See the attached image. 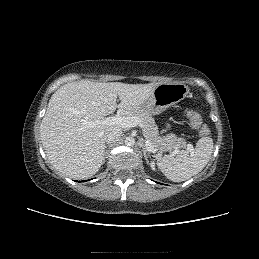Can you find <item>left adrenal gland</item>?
I'll return each instance as SVG.
<instances>
[{"label":"left adrenal gland","instance_id":"obj_1","mask_svg":"<svg viewBox=\"0 0 259 259\" xmlns=\"http://www.w3.org/2000/svg\"><path fill=\"white\" fill-rule=\"evenodd\" d=\"M141 147H142V151H143V154H144V158L148 162V154H149V153H147L148 150L146 149L144 143H141Z\"/></svg>","mask_w":259,"mask_h":259}]
</instances>
